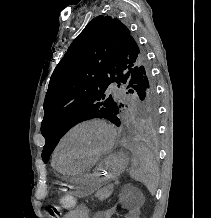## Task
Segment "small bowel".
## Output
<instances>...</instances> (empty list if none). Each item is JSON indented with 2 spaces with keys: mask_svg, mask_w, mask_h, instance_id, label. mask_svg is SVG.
Segmentation results:
<instances>
[{
  "mask_svg": "<svg viewBox=\"0 0 211 218\" xmlns=\"http://www.w3.org/2000/svg\"><path fill=\"white\" fill-rule=\"evenodd\" d=\"M124 210L123 218H139V211L136 208L123 204ZM117 213V208L113 207L106 211H98L94 214L93 218H113ZM71 218H90V213L87 207L78 206L70 215Z\"/></svg>",
  "mask_w": 211,
  "mask_h": 218,
  "instance_id": "c3829d8e",
  "label": "small bowel"
}]
</instances>
